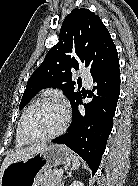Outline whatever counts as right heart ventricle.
<instances>
[{
  "label": "right heart ventricle",
  "instance_id": "obj_1",
  "mask_svg": "<svg viewBox=\"0 0 138 186\" xmlns=\"http://www.w3.org/2000/svg\"><path fill=\"white\" fill-rule=\"evenodd\" d=\"M37 102V101H36ZM28 143L23 141L18 133V128H17V131H16V146L17 147H23L25 145H27Z\"/></svg>",
  "mask_w": 138,
  "mask_h": 186
}]
</instances>
